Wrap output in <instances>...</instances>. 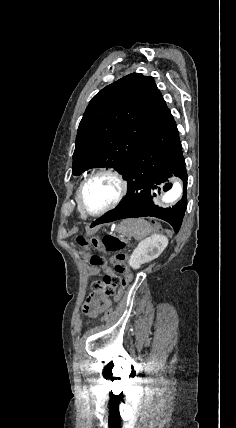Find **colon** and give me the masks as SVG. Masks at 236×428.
<instances>
[{"mask_svg": "<svg viewBox=\"0 0 236 428\" xmlns=\"http://www.w3.org/2000/svg\"><path fill=\"white\" fill-rule=\"evenodd\" d=\"M77 243L80 246H90L93 250L116 254L111 259L113 269L108 266L103 256L93 253L89 259L91 265L103 269L104 275L92 282L91 287L93 293L89 297L84 311L91 316L100 311H104V319H107L111 315V309L109 306H104L99 302V296L114 295L115 301H119L123 289L132 279V273L125 265L126 257L121 253L127 245V240L116 235L108 234L102 239H86L80 236L77 238ZM117 289L118 291L116 292Z\"/></svg>", "mask_w": 236, "mask_h": 428, "instance_id": "1", "label": "colon"}]
</instances>
